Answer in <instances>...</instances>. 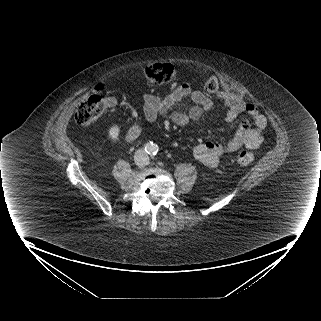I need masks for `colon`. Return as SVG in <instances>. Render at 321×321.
Returning a JSON list of instances; mask_svg holds the SVG:
<instances>
[{
  "label": "colon",
  "mask_w": 321,
  "mask_h": 321,
  "mask_svg": "<svg viewBox=\"0 0 321 321\" xmlns=\"http://www.w3.org/2000/svg\"><path fill=\"white\" fill-rule=\"evenodd\" d=\"M174 67L171 64H151L145 69V77L151 84H163L170 81L174 76ZM219 80L215 76L209 77L204 83V90L209 94L219 91ZM103 87L99 86L96 91L83 101L74 115L75 122L82 127L98 123L105 112V99L102 95ZM234 163L239 167H246L254 161V155L247 150H241L235 154Z\"/></svg>",
  "instance_id": "5ec220e1"
}]
</instances>
